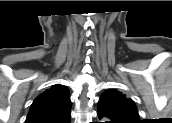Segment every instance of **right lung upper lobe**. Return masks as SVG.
Segmentation results:
<instances>
[{"instance_id":"cb5924a9","label":"right lung upper lobe","mask_w":172,"mask_h":123,"mask_svg":"<svg viewBox=\"0 0 172 123\" xmlns=\"http://www.w3.org/2000/svg\"><path fill=\"white\" fill-rule=\"evenodd\" d=\"M70 94L67 87L56 84L32 103L26 123H70Z\"/></svg>"}]
</instances>
